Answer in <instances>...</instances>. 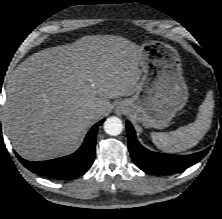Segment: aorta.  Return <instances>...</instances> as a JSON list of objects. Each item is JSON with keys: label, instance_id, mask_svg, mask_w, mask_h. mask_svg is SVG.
<instances>
[{"label": "aorta", "instance_id": "1", "mask_svg": "<svg viewBox=\"0 0 222 219\" xmlns=\"http://www.w3.org/2000/svg\"><path fill=\"white\" fill-rule=\"evenodd\" d=\"M104 130L111 136H117L123 131V124L121 119L112 116L106 119L104 122Z\"/></svg>", "mask_w": 222, "mask_h": 219}]
</instances>
